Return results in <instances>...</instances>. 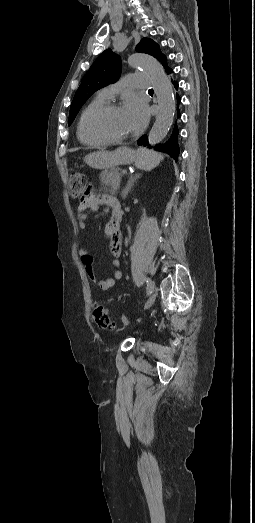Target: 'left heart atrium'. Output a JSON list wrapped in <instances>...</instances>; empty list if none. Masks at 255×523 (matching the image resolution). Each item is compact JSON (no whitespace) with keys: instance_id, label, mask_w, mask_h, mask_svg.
Masks as SVG:
<instances>
[{"instance_id":"1","label":"left heart atrium","mask_w":255,"mask_h":523,"mask_svg":"<svg viewBox=\"0 0 255 523\" xmlns=\"http://www.w3.org/2000/svg\"><path fill=\"white\" fill-rule=\"evenodd\" d=\"M126 107L131 112L134 131L138 132L142 130L149 119V109L147 104L139 98L132 96L128 99Z\"/></svg>"}]
</instances>
